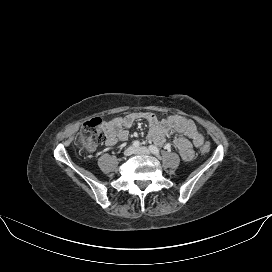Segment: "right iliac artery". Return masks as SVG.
Returning <instances> with one entry per match:
<instances>
[{
	"instance_id": "right-iliac-artery-1",
	"label": "right iliac artery",
	"mask_w": 272,
	"mask_h": 272,
	"mask_svg": "<svg viewBox=\"0 0 272 272\" xmlns=\"http://www.w3.org/2000/svg\"><path fill=\"white\" fill-rule=\"evenodd\" d=\"M133 146L135 147V148H138L139 146H140V142L139 141H134L133 142Z\"/></svg>"
}]
</instances>
